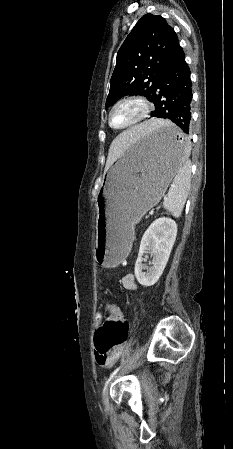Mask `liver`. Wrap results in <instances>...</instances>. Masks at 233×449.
Instances as JSON below:
<instances>
[{
  "label": "liver",
  "instance_id": "6515ba94",
  "mask_svg": "<svg viewBox=\"0 0 233 449\" xmlns=\"http://www.w3.org/2000/svg\"><path fill=\"white\" fill-rule=\"evenodd\" d=\"M167 123V121L162 119H150L135 125L122 133H116L115 139L111 143L108 153V166L112 165L121 156V154L135 142H141L142 137L145 134Z\"/></svg>",
  "mask_w": 233,
  "mask_h": 449
}]
</instances>
